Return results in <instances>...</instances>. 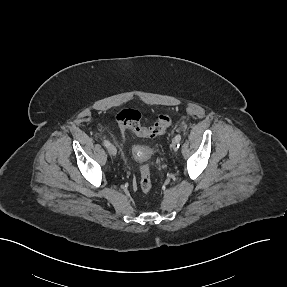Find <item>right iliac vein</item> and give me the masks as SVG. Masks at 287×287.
I'll return each mask as SVG.
<instances>
[{
  "label": "right iliac vein",
  "mask_w": 287,
  "mask_h": 287,
  "mask_svg": "<svg viewBox=\"0 0 287 287\" xmlns=\"http://www.w3.org/2000/svg\"><path fill=\"white\" fill-rule=\"evenodd\" d=\"M107 150H108V153L111 155V156H115L116 153H117V149L114 145L110 144L108 147H107Z\"/></svg>",
  "instance_id": "right-iliac-vein-1"
}]
</instances>
